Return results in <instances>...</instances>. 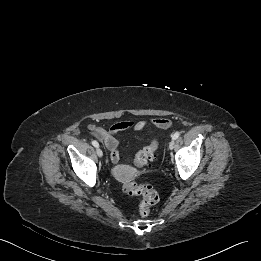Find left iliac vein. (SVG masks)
Returning a JSON list of instances; mask_svg holds the SVG:
<instances>
[{
    "mask_svg": "<svg viewBox=\"0 0 261 261\" xmlns=\"http://www.w3.org/2000/svg\"><path fill=\"white\" fill-rule=\"evenodd\" d=\"M174 144H175L174 139H172V140L169 142V148H170V149H173V148H174Z\"/></svg>",
    "mask_w": 261,
    "mask_h": 261,
    "instance_id": "1",
    "label": "left iliac vein"
}]
</instances>
